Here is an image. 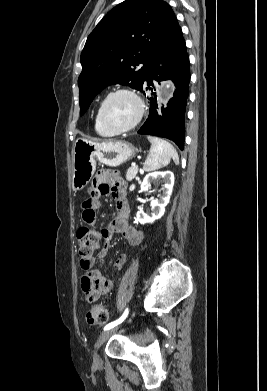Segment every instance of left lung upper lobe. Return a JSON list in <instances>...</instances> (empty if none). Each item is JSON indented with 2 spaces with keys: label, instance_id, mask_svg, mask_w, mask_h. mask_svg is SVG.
<instances>
[{
  "label": "left lung upper lobe",
  "instance_id": "left-lung-upper-lobe-1",
  "mask_svg": "<svg viewBox=\"0 0 267 391\" xmlns=\"http://www.w3.org/2000/svg\"><path fill=\"white\" fill-rule=\"evenodd\" d=\"M178 27L163 0H125L114 7L88 36L81 53L80 115L108 85L140 90L152 55ZM140 64L144 66L138 68Z\"/></svg>",
  "mask_w": 267,
  "mask_h": 391
}]
</instances>
